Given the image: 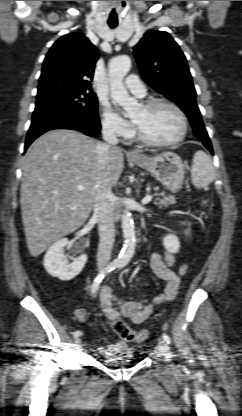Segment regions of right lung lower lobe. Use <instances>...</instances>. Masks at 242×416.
I'll use <instances>...</instances> for the list:
<instances>
[{"label":"right lung lower lobe","mask_w":242,"mask_h":416,"mask_svg":"<svg viewBox=\"0 0 242 416\" xmlns=\"http://www.w3.org/2000/svg\"><path fill=\"white\" fill-rule=\"evenodd\" d=\"M100 128L101 126L98 117L90 121H85L65 114L45 113L32 119L31 126L27 133L24 150L26 151L28 146L37 137L49 130L75 129L86 135L95 136L99 133Z\"/></svg>","instance_id":"98d812e1"}]
</instances>
